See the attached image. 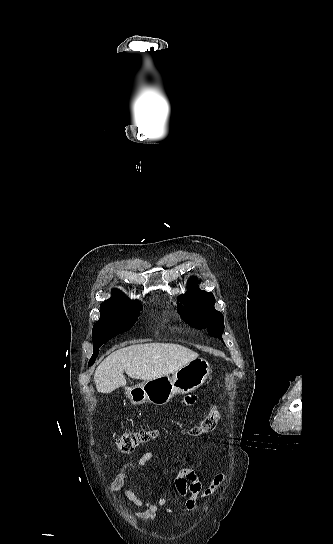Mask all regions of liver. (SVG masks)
Wrapping results in <instances>:
<instances>
[{
  "mask_svg": "<svg viewBox=\"0 0 333 544\" xmlns=\"http://www.w3.org/2000/svg\"><path fill=\"white\" fill-rule=\"evenodd\" d=\"M198 356L179 344H135L106 357L95 371L94 382L98 392L109 394L126 386L124 371L131 378L148 381L174 373Z\"/></svg>",
  "mask_w": 333,
  "mask_h": 544,
  "instance_id": "liver-1",
  "label": "liver"
}]
</instances>
